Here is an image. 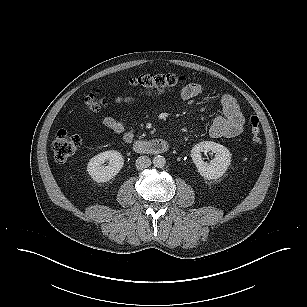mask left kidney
Instances as JSON below:
<instances>
[{
	"label": "left kidney",
	"instance_id": "5707ae66",
	"mask_svg": "<svg viewBox=\"0 0 307 307\" xmlns=\"http://www.w3.org/2000/svg\"><path fill=\"white\" fill-rule=\"evenodd\" d=\"M212 151L215 158L206 163L202 160L201 153ZM191 157L199 174L208 180H216L223 176L231 162L229 150L221 144L212 141H203L196 144L191 150Z\"/></svg>",
	"mask_w": 307,
	"mask_h": 307
}]
</instances>
